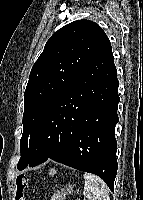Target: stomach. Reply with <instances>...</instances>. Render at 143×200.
<instances>
[{"instance_id":"obj_1","label":"stomach","mask_w":143,"mask_h":200,"mask_svg":"<svg viewBox=\"0 0 143 200\" xmlns=\"http://www.w3.org/2000/svg\"><path fill=\"white\" fill-rule=\"evenodd\" d=\"M73 188V185H66L65 188H62L61 191H58L56 194H54L50 200H65V196L71 194L73 192Z\"/></svg>"}]
</instances>
